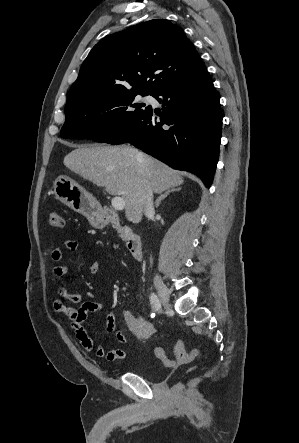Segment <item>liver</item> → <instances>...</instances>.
Wrapping results in <instances>:
<instances>
[{
  "instance_id": "liver-1",
  "label": "liver",
  "mask_w": 299,
  "mask_h": 443,
  "mask_svg": "<svg viewBox=\"0 0 299 443\" xmlns=\"http://www.w3.org/2000/svg\"><path fill=\"white\" fill-rule=\"evenodd\" d=\"M64 165L113 196L125 201V216L142 219L146 183L160 194L183 184L180 172L130 146H79L64 157Z\"/></svg>"
}]
</instances>
